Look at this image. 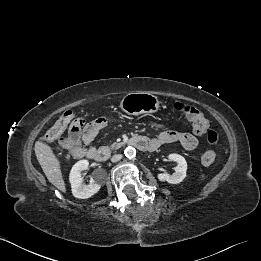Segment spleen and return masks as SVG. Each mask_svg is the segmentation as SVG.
<instances>
[{
    "mask_svg": "<svg viewBox=\"0 0 261 261\" xmlns=\"http://www.w3.org/2000/svg\"><path fill=\"white\" fill-rule=\"evenodd\" d=\"M205 175H202L201 179H204Z\"/></svg>",
    "mask_w": 261,
    "mask_h": 261,
    "instance_id": "spleen-1",
    "label": "spleen"
}]
</instances>
